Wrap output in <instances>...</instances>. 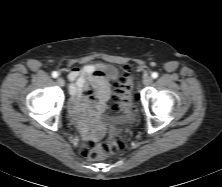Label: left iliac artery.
Wrapping results in <instances>:
<instances>
[{
    "label": "left iliac artery",
    "mask_w": 222,
    "mask_h": 187,
    "mask_svg": "<svg viewBox=\"0 0 222 187\" xmlns=\"http://www.w3.org/2000/svg\"><path fill=\"white\" fill-rule=\"evenodd\" d=\"M151 76H152V78H157L158 77V73H156V72H153L152 74H151Z\"/></svg>",
    "instance_id": "44dca946"
}]
</instances>
